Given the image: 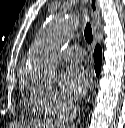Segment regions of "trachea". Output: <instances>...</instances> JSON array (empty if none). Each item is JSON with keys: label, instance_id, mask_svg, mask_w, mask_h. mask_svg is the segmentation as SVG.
Listing matches in <instances>:
<instances>
[{"label": "trachea", "instance_id": "trachea-1", "mask_svg": "<svg viewBox=\"0 0 125 128\" xmlns=\"http://www.w3.org/2000/svg\"><path fill=\"white\" fill-rule=\"evenodd\" d=\"M84 36L88 44H91L93 40V35H92V28L90 22L86 23L85 29H84Z\"/></svg>", "mask_w": 125, "mask_h": 128}]
</instances>
